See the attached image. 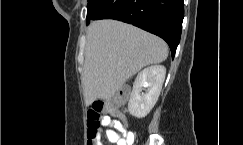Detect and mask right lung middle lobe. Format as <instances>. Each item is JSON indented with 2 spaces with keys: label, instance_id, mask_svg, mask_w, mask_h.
<instances>
[{
  "label": "right lung middle lobe",
  "instance_id": "1",
  "mask_svg": "<svg viewBox=\"0 0 243 145\" xmlns=\"http://www.w3.org/2000/svg\"><path fill=\"white\" fill-rule=\"evenodd\" d=\"M92 2H93V0H89L87 6H89Z\"/></svg>",
  "mask_w": 243,
  "mask_h": 145
}]
</instances>
